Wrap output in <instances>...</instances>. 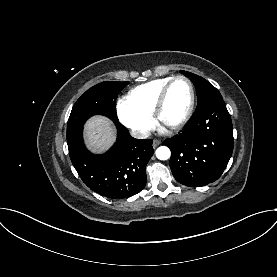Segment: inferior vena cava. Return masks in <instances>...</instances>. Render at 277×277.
<instances>
[{
  "label": "inferior vena cava",
  "instance_id": "602c4592",
  "mask_svg": "<svg viewBox=\"0 0 277 277\" xmlns=\"http://www.w3.org/2000/svg\"><path fill=\"white\" fill-rule=\"evenodd\" d=\"M131 136L137 139H145L148 138L150 133L147 130H131Z\"/></svg>",
  "mask_w": 277,
  "mask_h": 277
}]
</instances>
